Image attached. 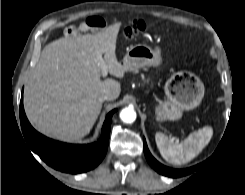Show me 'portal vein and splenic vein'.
Segmentation results:
<instances>
[{"label": "portal vein and splenic vein", "mask_w": 245, "mask_h": 195, "mask_svg": "<svg viewBox=\"0 0 245 195\" xmlns=\"http://www.w3.org/2000/svg\"><path fill=\"white\" fill-rule=\"evenodd\" d=\"M101 72H102L101 74L103 77L107 76L108 71H107V67L105 65L101 66Z\"/></svg>", "instance_id": "portal-vein-and-splenic-vein-1"}]
</instances>
